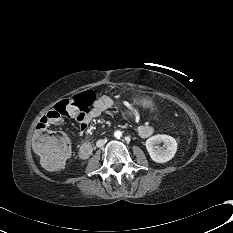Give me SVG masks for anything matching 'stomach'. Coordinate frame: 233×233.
I'll use <instances>...</instances> for the list:
<instances>
[{
	"instance_id": "stomach-1",
	"label": "stomach",
	"mask_w": 233,
	"mask_h": 233,
	"mask_svg": "<svg viewBox=\"0 0 233 233\" xmlns=\"http://www.w3.org/2000/svg\"><path fill=\"white\" fill-rule=\"evenodd\" d=\"M136 102L144 108H151L153 106V101L148 96H139L136 99Z\"/></svg>"
}]
</instances>
